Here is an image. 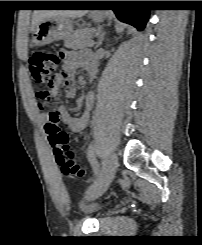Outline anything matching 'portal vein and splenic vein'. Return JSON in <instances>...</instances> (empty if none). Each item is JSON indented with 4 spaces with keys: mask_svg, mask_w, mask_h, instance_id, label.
I'll use <instances>...</instances> for the list:
<instances>
[{
    "mask_svg": "<svg viewBox=\"0 0 202 245\" xmlns=\"http://www.w3.org/2000/svg\"><path fill=\"white\" fill-rule=\"evenodd\" d=\"M93 44H94V42H93V41H91V42H90V46H92Z\"/></svg>",
    "mask_w": 202,
    "mask_h": 245,
    "instance_id": "portal-vein-and-splenic-vein-1",
    "label": "portal vein and splenic vein"
}]
</instances>
